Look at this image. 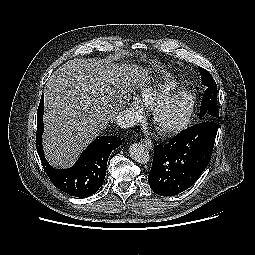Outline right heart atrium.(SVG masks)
<instances>
[{"instance_id": "right-heart-atrium-1", "label": "right heart atrium", "mask_w": 255, "mask_h": 255, "mask_svg": "<svg viewBox=\"0 0 255 255\" xmlns=\"http://www.w3.org/2000/svg\"><path fill=\"white\" fill-rule=\"evenodd\" d=\"M128 115L131 119H137L141 116V111L134 102L129 105Z\"/></svg>"}]
</instances>
